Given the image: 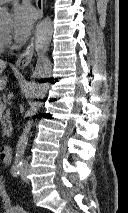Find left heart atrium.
<instances>
[{"instance_id": "left-heart-atrium-1", "label": "left heart atrium", "mask_w": 128, "mask_h": 213, "mask_svg": "<svg viewBox=\"0 0 128 213\" xmlns=\"http://www.w3.org/2000/svg\"><path fill=\"white\" fill-rule=\"evenodd\" d=\"M35 20V11L28 4H19L14 7L13 36L17 42H23L28 38Z\"/></svg>"}]
</instances>
